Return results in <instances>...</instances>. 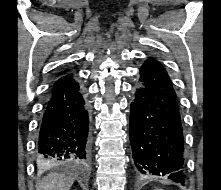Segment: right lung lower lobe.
Returning a JSON list of instances; mask_svg holds the SVG:
<instances>
[{
    "label": "right lung lower lobe",
    "mask_w": 221,
    "mask_h": 190,
    "mask_svg": "<svg viewBox=\"0 0 221 190\" xmlns=\"http://www.w3.org/2000/svg\"><path fill=\"white\" fill-rule=\"evenodd\" d=\"M36 149L38 159L47 165L83 166L89 159L88 103L72 74L55 80L48 91Z\"/></svg>",
    "instance_id": "right-lung-lower-lobe-1"
}]
</instances>
